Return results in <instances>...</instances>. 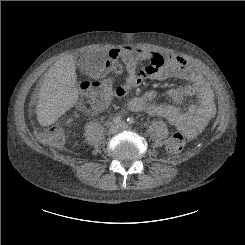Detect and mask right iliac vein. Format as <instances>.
I'll use <instances>...</instances> for the list:
<instances>
[{
	"label": "right iliac vein",
	"mask_w": 245,
	"mask_h": 245,
	"mask_svg": "<svg viewBox=\"0 0 245 245\" xmlns=\"http://www.w3.org/2000/svg\"><path fill=\"white\" fill-rule=\"evenodd\" d=\"M119 130V127L117 125H112L110 128H109V133L110 134H115L117 133Z\"/></svg>",
	"instance_id": "63e3f726"
}]
</instances>
